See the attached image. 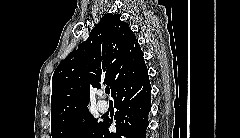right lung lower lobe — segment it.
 Instances as JSON below:
<instances>
[{
  "mask_svg": "<svg viewBox=\"0 0 240 138\" xmlns=\"http://www.w3.org/2000/svg\"><path fill=\"white\" fill-rule=\"evenodd\" d=\"M151 85L148 74L133 84L121 88L114 95L116 132L103 121L94 138H146L148 113L151 110Z\"/></svg>",
  "mask_w": 240,
  "mask_h": 138,
  "instance_id": "obj_1",
  "label": "right lung lower lobe"
}]
</instances>
